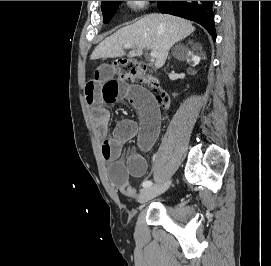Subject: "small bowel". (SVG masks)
I'll return each mask as SVG.
<instances>
[{"label": "small bowel", "mask_w": 271, "mask_h": 266, "mask_svg": "<svg viewBox=\"0 0 271 266\" xmlns=\"http://www.w3.org/2000/svg\"><path fill=\"white\" fill-rule=\"evenodd\" d=\"M85 98L91 107L95 131L103 139V157L111 162L109 176L112 184L125 196L137 197L129 178L146 173L144 154L153 146L160 132L161 117L153 97L142 88L116 78L111 67L100 66L86 83ZM122 100H127L138 111L139 120L122 119L109 134L110 114L106 106ZM134 138L139 151L131 153L126 161L121 160L124 144Z\"/></svg>", "instance_id": "obj_1"}]
</instances>
